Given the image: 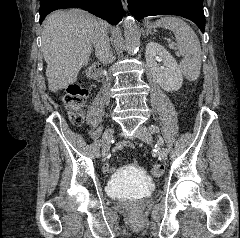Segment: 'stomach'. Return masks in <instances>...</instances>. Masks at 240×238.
I'll list each match as a JSON object with an SVG mask.
<instances>
[{"instance_id":"0dacf381","label":"stomach","mask_w":240,"mask_h":238,"mask_svg":"<svg viewBox=\"0 0 240 238\" xmlns=\"http://www.w3.org/2000/svg\"><path fill=\"white\" fill-rule=\"evenodd\" d=\"M155 27H156V25L147 24L148 29L155 28Z\"/></svg>"}]
</instances>
